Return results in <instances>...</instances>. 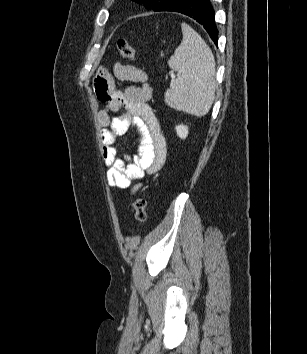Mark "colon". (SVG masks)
<instances>
[{
  "instance_id": "1",
  "label": "colon",
  "mask_w": 307,
  "mask_h": 354,
  "mask_svg": "<svg viewBox=\"0 0 307 354\" xmlns=\"http://www.w3.org/2000/svg\"><path fill=\"white\" fill-rule=\"evenodd\" d=\"M118 50L120 55L128 60L133 61L136 58V51L133 45H131L127 40L121 39L118 41ZM133 210L135 214V219L139 223H143L147 219V202L144 198H137L133 203Z\"/></svg>"
}]
</instances>
